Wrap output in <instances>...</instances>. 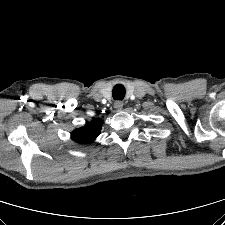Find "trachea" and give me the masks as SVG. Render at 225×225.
<instances>
[{"instance_id": "3493384b", "label": "trachea", "mask_w": 225, "mask_h": 225, "mask_svg": "<svg viewBox=\"0 0 225 225\" xmlns=\"http://www.w3.org/2000/svg\"><path fill=\"white\" fill-rule=\"evenodd\" d=\"M112 96L115 100H122L125 96V88L121 84H117L112 90Z\"/></svg>"}]
</instances>
